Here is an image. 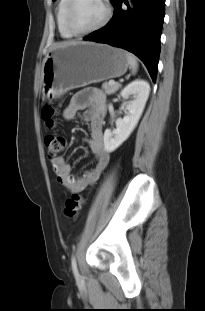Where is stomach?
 Masks as SVG:
<instances>
[{
  "label": "stomach",
  "mask_w": 205,
  "mask_h": 311,
  "mask_svg": "<svg viewBox=\"0 0 205 311\" xmlns=\"http://www.w3.org/2000/svg\"><path fill=\"white\" fill-rule=\"evenodd\" d=\"M126 52L105 44L77 42L54 47L42 66V94L48 100L91 83L124 75Z\"/></svg>",
  "instance_id": "0dacf381"
}]
</instances>
